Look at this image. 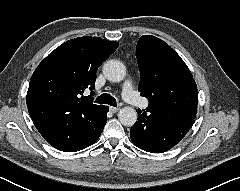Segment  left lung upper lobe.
<instances>
[{
  "label": "left lung upper lobe",
  "mask_w": 240,
  "mask_h": 191,
  "mask_svg": "<svg viewBox=\"0 0 240 191\" xmlns=\"http://www.w3.org/2000/svg\"><path fill=\"white\" fill-rule=\"evenodd\" d=\"M136 57L140 70L139 91L149 100L147 111L155 120L189 129L197 113L198 91L181 57L164 41L142 36Z\"/></svg>",
  "instance_id": "1"
}]
</instances>
